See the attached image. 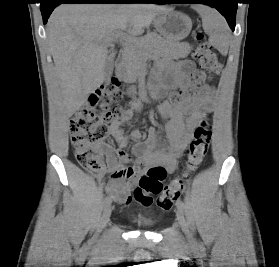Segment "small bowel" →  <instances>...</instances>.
<instances>
[{
  "instance_id": "small-bowel-1",
  "label": "small bowel",
  "mask_w": 279,
  "mask_h": 267,
  "mask_svg": "<svg viewBox=\"0 0 279 267\" xmlns=\"http://www.w3.org/2000/svg\"><path fill=\"white\" fill-rule=\"evenodd\" d=\"M193 69V63L188 60L160 63L157 70L163 73L165 78L159 80L156 91L161 92L166 88L188 89ZM212 92L213 87L205 84L193 96L185 97L178 105L166 101L160 105V114L168 119L167 145L162 148L157 147L158 132L154 127L148 129L145 139L138 129L132 130L128 138L124 135L123 127L131 121L135 111H141L140 103H134L121 120L110 124V134L120 147L126 146L129 139L137 141L133 147V153L137 158L136 167L141 165L159 167L166 176L176 170L178 158L192 138L193 131L199 124L204 111L210 105ZM127 161H129V156L123 150L118 153L107 150V165L112 175L105 188L109 196L120 205H128L131 202V188L137 175L136 167L130 168L133 174L128 177V181L115 174L116 170L122 168L120 162Z\"/></svg>"
}]
</instances>
